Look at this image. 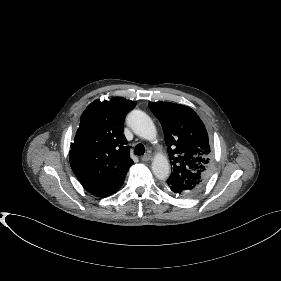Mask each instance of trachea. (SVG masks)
<instances>
[{
	"label": "trachea",
	"instance_id": "trachea-1",
	"mask_svg": "<svg viewBox=\"0 0 281 281\" xmlns=\"http://www.w3.org/2000/svg\"><path fill=\"white\" fill-rule=\"evenodd\" d=\"M135 155L141 156L145 153V147L143 144H137L134 149Z\"/></svg>",
	"mask_w": 281,
	"mask_h": 281
}]
</instances>
